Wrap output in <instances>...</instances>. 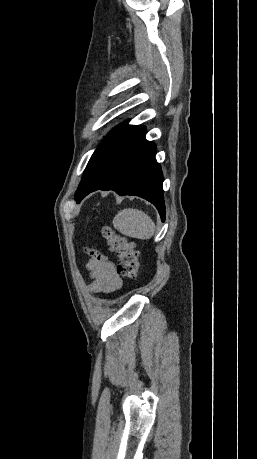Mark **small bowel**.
<instances>
[{
  "label": "small bowel",
  "mask_w": 257,
  "mask_h": 459,
  "mask_svg": "<svg viewBox=\"0 0 257 459\" xmlns=\"http://www.w3.org/2000/svg\"><path fill=\"white\" fill-rule=\"evenodd\" d=\"M89 255L90 259L86 263V268L89 271L90 291L97 294H109L121 289L122 281L114 264L98 251L90 250Z\"/></svg>",
  "instance_id": "c3829d8e"
}]
</instances>
